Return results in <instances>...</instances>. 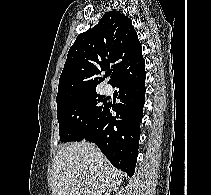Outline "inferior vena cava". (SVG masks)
Here are the masks:
<instances>
[{
  "mask_svg": "<svg viewBox=\"0 0 211 195\" xmlns=\"http://www.w3.org/2000/svg\"><path fill=\"white\" fill-rule=\"evenodd\" d=\"M97 158H98V159H101V158H102V154H101V152H99V151L97 152ZM99 195H101V193H99Z\"/></svg>",
  "mask_w": 211,
  "mask_h": 195,
  "instance_id": "inferior-vena-cava-1",
  "label": "inferior vena cava"
}]
</instances>
